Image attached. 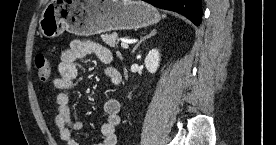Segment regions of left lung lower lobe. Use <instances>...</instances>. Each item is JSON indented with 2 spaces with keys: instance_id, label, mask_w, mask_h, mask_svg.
<instances>
[{
  "instance_id": "obj_1",
  "label": "left lung lower lobe",
  "mask_w": 276,
  "mask_h": 145,
  "mask_svg": "<svg viewBox=\"0 0 276 145\" xmlns=\"http://www.w3.org/2000/svg\"><path fill=\"white\" fill-rule=\"evenodd\" d=\"M152 5L180 13L199 26L202 18V0H144Z\"/></svg>"
}]
</instances>
